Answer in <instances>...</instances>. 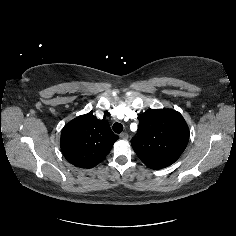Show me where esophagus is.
I'll return each mask as SVG.
<instances>
[{
    "label": "esophagus",
    "instance_id": "obj_1",
    "mask_svg": "<svg viewBox=\"0 0 236 236\" xmlns=\"http://www.w3.org/2000/svg\"><path fill=\"white\" fill-rule=\"evenodd\" d=\"M129 135L126 132L120 134L121 139H128Z\"/></svg>",
    "mask_w": 236,
    "mask_h": 236
}]
</instances>
